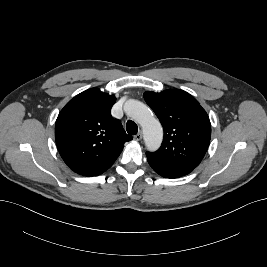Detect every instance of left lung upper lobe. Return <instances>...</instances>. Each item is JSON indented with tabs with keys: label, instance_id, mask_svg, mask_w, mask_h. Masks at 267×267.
<instances>
[{
	"label": "left lung upper lobe",
	"instance_id": "left-lung-upper-lobe-1",
	"mask_svg": "<svg viewBox=\"0 0 267 267\" xmlns=\"http://www.w3.org/2000/svg\"><path fill=\"white\" fill-rule=\"evenodd\" d=\"M144 99L164 128L161 147L156 152H147V159L164 165L196 168L211 137V124L205 110L193 96L180 89L145 92Z\"/></svg>",
	"mask_w": 267,
	"mask_h": 267
}]
</instances>
